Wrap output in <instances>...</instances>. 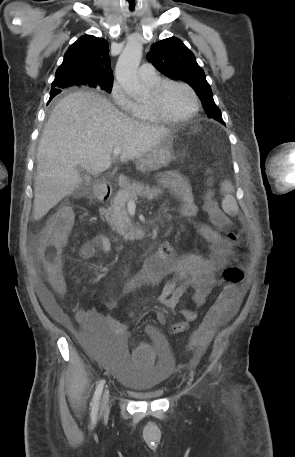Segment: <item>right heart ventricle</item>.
Listing matches in <instances>:
<instances>
[{"instance_id":"right-heart-ventricle-1","label":"right heart ventricle","mask_w":295,"mask_h":457,"mask_svg":"<svg viewBox=\"0 0 295 457\" xmlns=\"http://www.w3.org/2000/svg\"><path fill=\"white\" fill-rule=\"evenodd\" d=\"M159 81H160V79L158 78L154 81H147L146 84L153 87ZM132 115L137 121H139L141 123L155 124V123L159 122V120L150 111L147 103L136 102L135 110Z\"/></svg>"}]
</instances>
